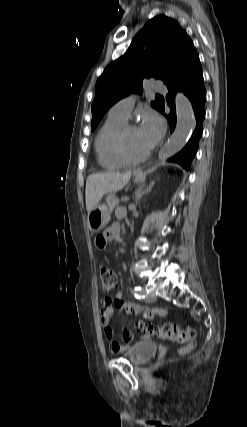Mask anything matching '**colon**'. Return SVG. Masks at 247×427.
<instances>
[{
	"label": "colon",
	"instance_id": "1",
	"mask_svg": "<svg viewBox=\"0 0 247 427\" xmlns=\"http://www.w3.org/2000/svg\"><path fill=\"white\" fill-rule=\"evenodd\" d=\"M100 283L104 292H110L113 290L117 283L115 273L104 265L100 266ZM136 326L148 337L187 344L186 347L181 349V352L183 353L193 349L195 346V343L193 342L195 331L191 327L180 328L170 323H165L160 326H152L146 325L141 321L136 322Z\"/></svg>",
	"mask_w": 247,
	"mask_h": 427
}]
</instances>
